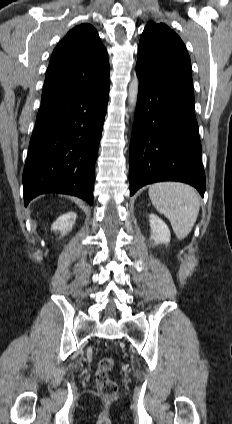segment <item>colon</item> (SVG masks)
<instances>
[{"label":"colon","instance_id":"colon-1","mask_svg":"<svg viewBox=\"0 0 232 424\" xmlns=\"http://www.w3.org/2000/svg\"><path fill=\"white\" fill-rule=\"evenodd\" d=\"M114 366V360L111 357H103L99 360L96 371V388L101 396L113 398L117 395L118 386L115 381L109 377V373Z\"/></svg>","mask_w":232,"mask_h":424}]
</instances>
